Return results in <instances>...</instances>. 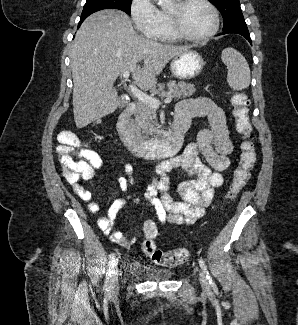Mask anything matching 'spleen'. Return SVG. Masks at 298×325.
I'll list each match as a JSON object with an SVG mask.
<instances>
[{
	"label": "spleen",
	"instance_id": "spleen-1",
	"mask_svg": "<svg viewBox=\"0 0 298 325\" xmlns=\"http://www.w3.org/2000/svg\"><path fill=\"white\" fill-rule=\"evenodd\" d=\"M222 62L228 68L227 82L232 90H243L250 84L251 72L249 64L238 50L235 48H223L221 52Z\"/></svg>",
	"mask_w": 298,
	"mask_h": 325
}]
</instances>
